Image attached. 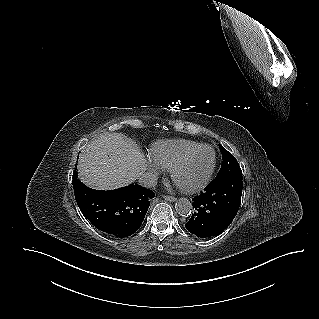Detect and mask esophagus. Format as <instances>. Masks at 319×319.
<instances>
[{
  "instance_id": "esophagus-1",
  "label": "esophagus",
  "mask_w": 319,
  "mask_h": 319,
  "mask_svg": "<svg viewBox=\"0 0 319 319\" xmlns=\"http://www.w3.org/2000/svg\"><path fill=\"white\" fill-rule=\"evenodd\" d=\"M163 198H164L165 200L169 201V202H175V201H176V198L173 197V196H167V195H165V196H163Z\"/></svg>"
}]
</instances>
